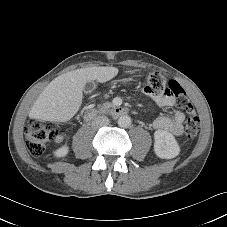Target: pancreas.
Instances as JSON below:
<instances>
[{
	"label": "pancreas",
	"instance_id": "cf45deb5",
	"mask_svg": "<svg viewBox=\"0 0 227 227\" xmlns=\"http://www.w3.org/2000/svg\"><path fill=\"white\" fill-rule=\"evenodd\" d=\"M110 107H112V103H110V102H105L103 104L98 105V109L101 112L108 110Z\"/></svg>",
	"mask_w": 227,
	"mask_h": 227
}]
</instances>
